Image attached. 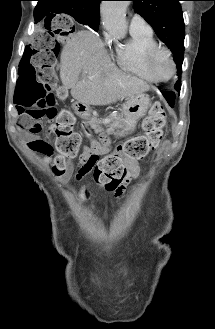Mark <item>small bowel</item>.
Listing matches in <instances>:
<instances>
[{"label": "small bowel", "mask_w": 215, "mask_h": 329, "mask_svg": "<svg viewBox=\"0 0 215 329\" xmlns=\"http://www.w3.org/2000/svg\"><path fill=\"white\" fill-rule=\"evenodd\" d=\"M21 125H29V123L26 120H24V119L21 118L20 119V126ZM31 127L32 126H30V128ZM24 132L27 135V140H26L27 146L30 149H32V150H34V151L42 154L43 155V161L44 162H48L49 159H50V157H51V155H52V153H53V150L50 153H47V152H42V151H39V150L35 149L33 147L32 143L36 139V136L37 135H34L33 133H29V132H26V131H24ZM39 136L42 137L40 134H39ZM42 138H44V137H42ZM106 145H107V142H105V141L102 142V143H99L97 141H92L89 146H86L84 148V151H83V154H82V158L83 157H86V156H89L91 154H96L97 155V154L104 153L106 151ZM124 164H125V167L127 169V176L125 178L124 184L119 189H117L115 191V196L117 198H120L122 196L123 191L125 189V185L130 180H132L133 178H135L138 175V173H139V166H138V164H137L136 161H134L132 159H126L125 162H124ZM128 187H129V189L127 191L130 193L132 191L131 189H138L139 184H138V182H129Z\"/></svg>", "instance_id": "1"}]
</instances>
